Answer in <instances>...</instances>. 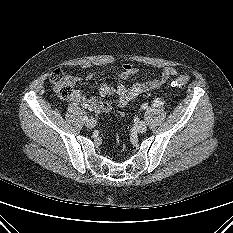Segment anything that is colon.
<instances>
[{
	"label": "colon",
	"mask_w": 233,
	"mask_h": 233,
	"mask_svg": "<svg viewBox=\"0 0 233 233\" xmlns=\"http://www.w3.org/2000/svg\"><path fill=\"white\" fill-rule=\"evenodd\" d=\"M189 77L181 75L173 81L174 86H184L188 83ZM50 82L54 87L58 97L62 100H71L77 96V90L74 88L73 81L60 69L54 70L50 74Z\"/></svg>",
	"instance_id": "obj_1"
}]
</instances>
